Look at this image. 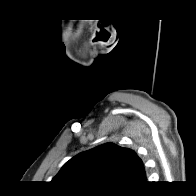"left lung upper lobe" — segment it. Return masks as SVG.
<instances>
[{
	"mask_svg": "<svg viewBox=\"0 0 196 196\" xmlns=\"http://www.w3.org/2000/svg\"><path fill=\"white\" fill-rule=\"evenodd\" d=\"M51 182L79 193H125L144 184L146 173L135 151L105 143L71 158Z\"/></svg>",
	"mask_w": 196,
	"mask_h": 196,
	"instance_id": "1",
	"label": "left lung upper lobe"
}]
</instances>
